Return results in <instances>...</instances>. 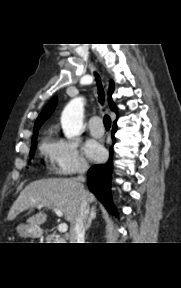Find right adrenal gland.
I'll return each mask as SVG.
<instances>
[{
  "label": "right adrenal gland",
  "instance_id": "obj_1",
  "mask_svg": "<svg viewBox=\"0 0 181 288\" xmlns=\"http://www.w3.org/2000/svg\"><path fill=\"white\" fill-rule=\"evenodd\" d=\"M95 217H96V209H95V207H92L88 221H87V224H86V227H85V231H87L91 227L92 220L95 219Z\"/></svg>",
  "mask_w": 181,
  "mask_h": 288
}]
</instances>
